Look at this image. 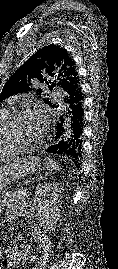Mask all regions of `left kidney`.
Listing matches in <instances>:
<instances>
[{
    "label": "left kidney",
    "instance_id": "obj_1",
    "mask_svg": "<svg viewBox=\"0 0 118 269\" xmlns=\"http://www.w3.org/2000/svg\"><path fill=\"white\" fill-rule=\"evenodd\" d=\"M61 190L58 183L38 184L35 189L32 209L41 227L54 230L60 219Z\"/></svg>",
    "mask_w": 118,
    "mask_h": 269
}]
</instances>
